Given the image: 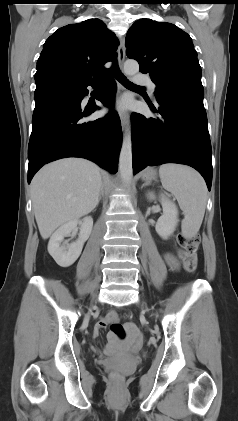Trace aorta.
Segmentation results:
<instances>
[{
	"mask_svg": "<svg viewBox=\"0 0 238 421\" xmlns=\"http://www.w3.org/2000/svg\"><path fill=\"white\" fill-rule=\"evenodd\" d=\"M139 71V64L133 59L124 63V73L128 76L135 75ZM119 170L122 181L129 186L132 181V138L131 133L127 132L123 138L122 147L119 156Z\"/></svg>",
	"mask_w": 238,
	"mask_h": 421,
	"instance_id": "762f6f07",
	"label": "aorta"
}]
</instances>
